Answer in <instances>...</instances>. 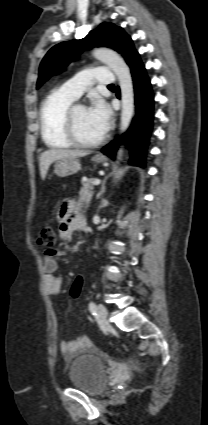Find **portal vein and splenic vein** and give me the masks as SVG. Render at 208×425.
Wrapping results in <instances>:
<instances>
[{"mask_svg":"<svg viewBox=\"0 0 208 425\" xmlns=\"http://www.w3.org/2000/svg\"><path fill=\"white\" fill-rule=\"evenodd\" d=\"M100 182H101L100 179H95L94 182H93V185H99Z\"/></svg>","mask_w":208,"mask_h":425,"instance_id":"obj_1","label":"portal vein and splenic vein"}]
</instances>
